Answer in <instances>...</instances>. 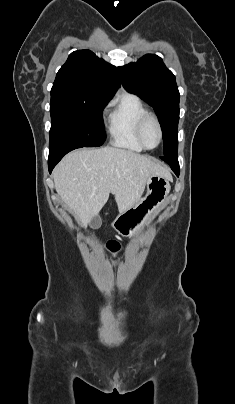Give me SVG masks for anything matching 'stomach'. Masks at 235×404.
Returning a JSON list of instances; mask_svg holds the SVG:
<instances>
[{
  "label": "stomach",
  "instance_id": "obj_1",
  "mask_svg": "<svg viewBox=\"0 0 235 404\" xmlns=\"http://www.w3.org/2000/svg\"><path fill=\"white\" fill-rule=\"evenodd\" d=\"M146 186L145 197L135 206L119 213L113 221L112 227L118 234L129 238L138 235L166 204L170 192L167 178L152 176Z\"/></svg>",
  "mask_w": 235,
  "mask_h": 404
}]
</instances>
